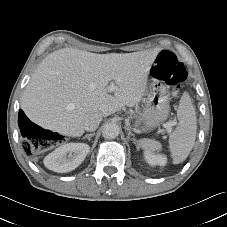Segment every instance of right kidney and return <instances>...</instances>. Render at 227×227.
I'll return each mask as SVG.
<instances>
[{
	"label": "right kidney",
	"mask_w": 227,
	"mask_h": 227,
	"mask_svg": "<svg viewBox=\"0 0 227 227\" xmlns=\"http://www.w3.org/2000/svg\"><path fill=\"white\" fill-rule=\"evenodd\" d=\"M89 150V145L85 143H67L48 154L44 164L54 172H70L83 162Z\"/></svg>",
	"instance_id": "ca27d5eb"
}]
</instances>
